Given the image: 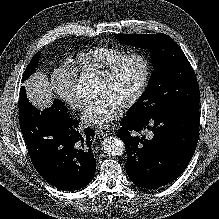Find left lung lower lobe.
Returning <instances> with one entry per match:
<instances>
[{"instance_id":"left-lung-lower-lobe-1","label":"left lung lower lobe","mask_w":219,"mask_h":219,"mask_svg":"<svg viewBox=\"0 0 219 219\" xmlns=\"http://www.w3.org/2000/svg\"><path fill=\"white\" fill-rule=\"evenodd\" d=\"M199 122L198 105L160 117H125L117 134L126 145L125 167L130 180L146 189H157L175 180L193 157ZM142 130L151 133L149 139L131 134Z\"/></svg>"}]
</instances>
